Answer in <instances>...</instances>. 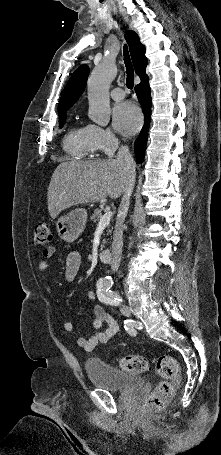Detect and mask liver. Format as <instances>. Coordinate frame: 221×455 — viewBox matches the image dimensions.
I'll return each mask as SVG.
<instances>
[{
  "label": "liver",
  "mask_w": 221,
  "mask_h": 455,
  "mask_svg": "<svg viewBox=\"0 0 221 455\" xmlns=\"http://www.w3.org/2000/svg\"><path fill=\"white\" fill-rule=\"evenodd\" d=\"M127 182L124 166L115 159L62 162L48 187L49 214L55 219L73 205L101 201L107 196L119 198Z\"/></svg>",
  "instance_id": "liver-1"
}]
</instances>
